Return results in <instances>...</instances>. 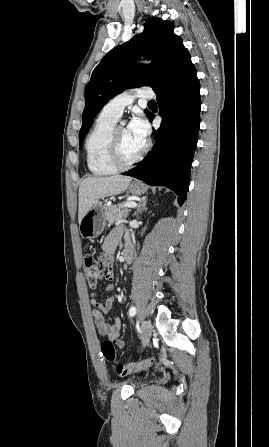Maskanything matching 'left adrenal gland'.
<instances>
[{"mask_svg": "<svg viewBox=\"0 0 269 447\" xmlns=\"http://www.w3.org/2000/svg\"><path fill=\"white\" fill-rule=\"evenodd\" d=\"M146 200L147 198H143L140 210H145V206L147 204ZM139 214H141V212H139Z\"/></svg>", "mask_w": 269, "mask_h": 447, "instance_id": "a2214340", "label": "left adrenal gland"}]
</instances>
